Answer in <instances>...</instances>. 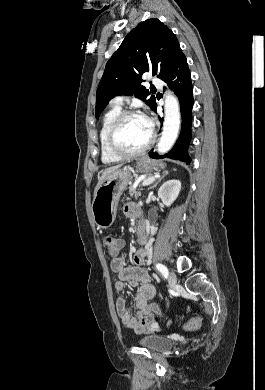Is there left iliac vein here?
Returning a JSON list of instances; mask_svg holds the SVG:
<instances>
[{
	"label": "left iliac vein",
	"mask_w": 265,
	"mask_h": 390,
	"mask_svg": "<svg viewBox=\"0 0 265 390\" xmlns=\"http://www.w3.org/2000/svg\"><path fill=\"white\" fill-rule=\"evenodd\" d=\"M168 281L171 285H176L177 284V276L174 272H170L168 276Z\"/></svg>",
	"instance_id": "obj_1"
}]
</instances>
